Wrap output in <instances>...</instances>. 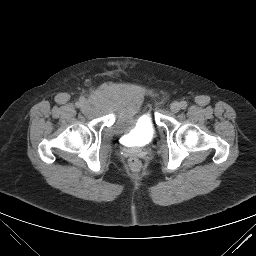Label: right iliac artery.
<instances>
[{
	"mask_svg": "<svg viewBox=\"0 0 256 256\" xmlns=\"http://www.w3.org/2000/svg\"><path fill=\"white\" fill-rule=\"evenodd\" d=\"M83 102H84V98H80V100L76 103V106L78 108L81 107Z\"/></svg>",
	"mask_w": 256,
	"mask_h": 256,
	"instance_id": "82829eb1",
	"label": "right iliac artery"
}]
</instances>
